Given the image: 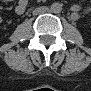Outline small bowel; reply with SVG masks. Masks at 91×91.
Masks as SVG:
<instances>
[{
	"label": "small bowel",
	"mask_w": 91,
	"mask_h": 91,
	"mask_svg": "<svg viewBox=\"0 0 91 91\" xmlns=\"http://www.w3.org/2000/svg\"><path fill=\"white\" fill-rule=\"evenodd\" d=\"M26 8H27V1L20 0L16 5L15 10L17 13L22 14L25 12ZM74 14H77V11H74Z\"/></svg>",
	"instance_id": "small-bowel-1"
}]
</instances>
